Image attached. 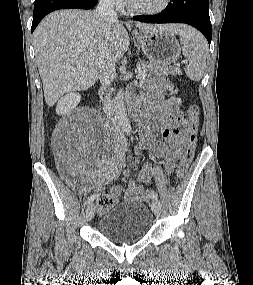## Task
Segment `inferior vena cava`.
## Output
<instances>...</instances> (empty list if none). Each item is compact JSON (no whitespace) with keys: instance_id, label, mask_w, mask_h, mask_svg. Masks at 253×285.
<instances>
[{"instance_id":"1","label":"inferior vena cava","mask_w":253,"mask_h":285,"mask_svg":"<svg viewBox=\"0 0 253 285\" xmlns=\"http://www.w3.org/2000/svg\"><path fill=\"white\" fill-rule=\"evenodd\" d=\"M96 15L101 20H106L107 22H118L117 13L114 10L111 0H99L96 8ZM115 72V62L106 57L100 67L99 79L101 83V91L105 94L103 110L108 117H112L114 115V105L107 91L114 79Z\"/></svg>"}]
</instances>
